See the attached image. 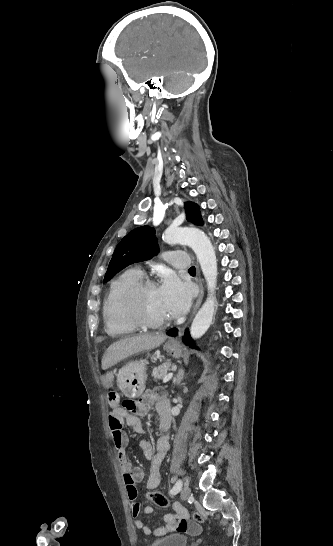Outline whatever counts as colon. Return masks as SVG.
I'll return each mask as SVG.
<instances>
[{"instance_id":"5ec220e1","label":"colon","mask_w":333,"mask_h":546,"mask_svg":"<svg viewBox=\"0 0 333 546\" xmlns=\"http://www.w3.org/2000/svg\"><path fill=\"white\" fill-rule=\"evenodd\" d=\"M109 401L112 405H115L119 401V396L116 392H111L109 394ZM134 405L133 401H127L125 406L132 408ZM149 499L158 507L165 508L169 506V499L161 492H152L149 494ZM195 522H203V517L200 513L196 512L193 516Z\"/></svg>"}]
</instances>
